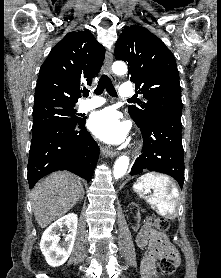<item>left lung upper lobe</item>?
<instances>
[{"label":"left lung upper lobe","mask_w":221,"mask_h":278,"mask_svg":"<svg viewBox=\"0 0 221 278\" xmlns=\"http://www.w3.org/2000/svg\"><path fill=\"white\" fill-rule=\"evenodd\" d=\"M115 58L129 64L128 76L144 95L140 107L128 112L138 126L161 116L181 119L179 73L172 52L146 28L132 25L122 30L115 44Z\"/></svg>","instance_id":"1"}]
</instances>
